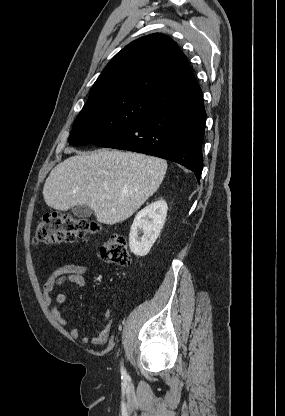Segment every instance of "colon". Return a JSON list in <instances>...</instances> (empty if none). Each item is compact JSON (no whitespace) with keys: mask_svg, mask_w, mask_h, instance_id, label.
<instances>
[{"mask_svg":"<svg viewBox=\"0 0 285 416\" xmlns=\"http://www.w3.org/2000/svg\"><path fill=\"white\" fill-rule=\"evenodd\" d=\"M100 226L97 222L68 214H46L38 222L34 235V244L51 245L59 242L88 240L98 233ZM101 258L108 263L127 266L131 257L125 237L120 233H111L100 246Z\"/></svg>","mask_w":285,"mask_h":416,"instance_id":"colon-1","label":"colon"}]
</instances>
